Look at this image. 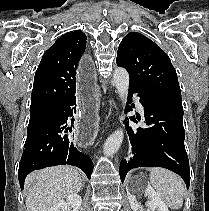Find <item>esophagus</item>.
I'll return each mask as SVG.
<instances>
[{"label": "esophagus", "instance_id": "34e87169", "mask_svg": "<svg viewBox=\"0 0 209 211\" xmlns=\"http://www.w3.org/2000/svg\"><path fill=\"white\" fill-rule=\"evenodd\" d=\"M81 60L82 64L75 74L78 89H76L74 97L78 99L74 102L77 119L72 140L75 141V145H94L95 133H98L96 119L98 117V101L94 82L96 79L95 65L91 56H82ZM110 114L111 110L109 116Z\"/></svg>", "mask_w": 209, "mask_h": 211}]
</instances>
